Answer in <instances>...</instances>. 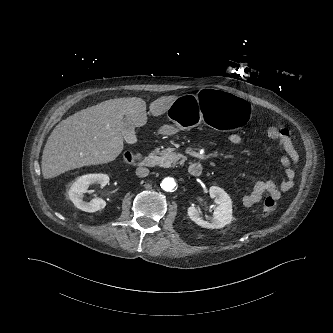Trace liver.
I'll return each mask as SVG.
<instances>
[{"label": "liver", "mask_w": 333, "mask_h": 333, "mask_svg": "<svg viewBox=\"0 0 333 333\" xmlns=\"http://www.w3.org/2000/svg\"><path fill=\"white\" fill-rule=\"evenodd\" d=\"M177 96L161 97L149 108L153 116L164 114ZM124 116L136 127L147 123L146 102L137 97L115 98L83 109L62 120L51 132L42 155L45 179L88 165L115 160L123 150Z\"/></svg>", "instance_id": "1"}]
</instances>
